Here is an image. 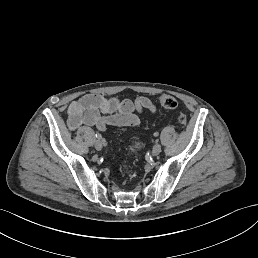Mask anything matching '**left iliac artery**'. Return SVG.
<instances>
[{
	"instance_id": "44dca946",
	"label": "left iliac artery",
	"mask_w": 258,
	"mask_h": 258,
	"mask_svg": "<svg viewBox=\"0 0 258 258\" xmlns=\"http://www.w3.org/2000/svg\"><path fill=\"white\" fill-rule=\"evenodd\" d=\"M153 135H154L155 137H158V136H159V132H155Z\"/></svg>"
}]
</instances>
